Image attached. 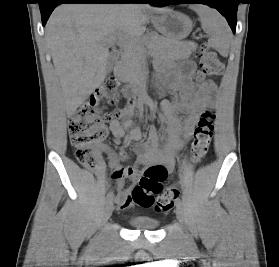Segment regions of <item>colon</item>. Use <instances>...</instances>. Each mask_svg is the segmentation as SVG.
Instances as JSON below:
<instances>
[{
	"label": "colon",
	"instance_id": "5ec220e1",
	"mask_svg": "<svg viewBox=\"0 0 279 267\" xmlns=\"http://www.w3.org/2000/svg\"><path fill=\"white\" fill-rule=\"evenodd\" d=\"M194 36L201 40L203 35L196 31ZM201 71L196 75L197 80L204 76L221 75L224 66L219 57L206 43H202L198 54ZM121 98L118 83L114 78L107 79L98 87L70 117L69 135L75 150L78 162L87 169L95 170L99 167L97 145L106 137V123L120 118L121 109L115 108L105 111L107 107L115 106ZM213 111L206 110L202 113L194 130L190 153L191 161L196 164L205 157L213 137L214 130ZM166 174L163 168L149 166L145 169L138 185L132 191L133 201L141 207L155 206L159 212H168L175 200L179 197L180 190L177 185L163 188ZM157 195L155 199L154 196Z\"/></svg>",
	"mask_w": 279,
	"mask_h": 267
}]
</instances>
